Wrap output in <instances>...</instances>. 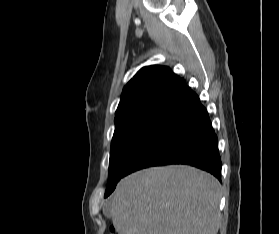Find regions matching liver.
I'll return each instance as SVG.
<instances>
[{"mask_svg": "<svg viewBox=\"0 0 279 234\" xmlns=\"http://www.w3.org/2000/svg\"><path fill=\"white\" fill-rule=\"evenodd\" d=\"M220 198L215 177L171 165L123 178L105 207L118 234H217Z\"/></svg>", "mask_w": 279, "mask_h": 234, "instance_id": "obj_1", "label": "liver"}]
</instances>
